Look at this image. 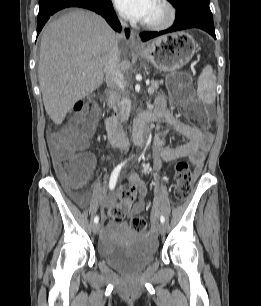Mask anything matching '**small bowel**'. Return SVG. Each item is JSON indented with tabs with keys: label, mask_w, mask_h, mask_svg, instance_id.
Instances as JSON below:
<instances>
[{
	"label": "small bowel",
	"mask_w": 261,
	"mask_h": 306,
	"mask_svg": "<svg viewBox=\"0 0 261 306\" xmlns=\"http://www.w3.org/2000/svg\"><path fill=\"white\" fill-rule=\"evenodd\" d=\"M154 116L158 120L157 132L155 136L153 165L159 168L163 162H171L180 158H187L195 166V172L199 173L204 165L207 154L211 149L213 135L208 131H202L179 120L172 112L166 109V99L160 96L156 102ZM170 127L174 132L183 136L185 141L179 145L172 146L168 143L167 128ZM90 159V171L93 170L95 158L88 155ZM131 186L139 194L137 202L134 204L131 215H137L144 210L146 187L143 181L132 176ZM73 196L81 204L88 202V195L82 194ZM117 193H109L102 196L101 203L103 208L114 205ZM115 228L114 224H108L106 228L105 240H110V232Z\"/></svg>",
	"instance_id": "small-bowel-1"
}]
</instances>
